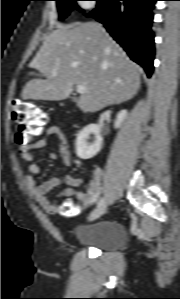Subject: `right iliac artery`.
Returning a JSON list of instances; mask_svg holds the SVG:
<instances>
[{"label": "right iliac artery", "mask_w": 180, "mask_h": 299, "mask_svg": "<svg viewBox=\"0 0 180 299\" xmlns=\"http://www.w3.org/2000/svg\"><path fill=\"white\" fill-rule=\"evenodd\" d=\"M103 203H104V197H102V198L98 201L97 206H100V205H102Z\"/></svg>", "instance_id": "82829eb1"}]
</instances>
